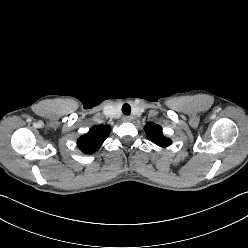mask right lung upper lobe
<instances>
[{
    "mask_svg": "<svg viewBox=\"0 0 248 248\" xmlns=\"http://www.w3.org/2000/svg\"><path fill=\"white\" fill-rule=\"evenodd\" d=\"M110 131L111 128L107 125L92 127L87 134L78 139V148L86 154L97 151L108 137Z\"/></svg>",
    "mask_w": 248,
    "mask_h": 248,
    "instance_id": "1",
    "label": "right lung upper lobe"
}]
</instances>
